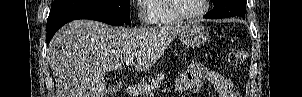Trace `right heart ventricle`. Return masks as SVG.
<instances>
[{"label":"right heart ventricle","instance_id":"1","mask_svg":"<svg viewBox=\"0 0 302 97\" xmlns=\"http://www.w3.org/2000/svg\"><path fill=\"white\" fill-rule=\"evenodd\" d=\"M148 12L152 23L158 27L172 26L179 22L169 9V0H151Z\"/></svg>","mask_w":302,"mask_h":97}]
</instances>
